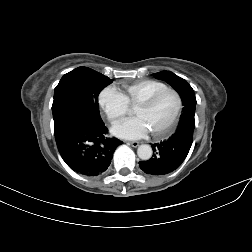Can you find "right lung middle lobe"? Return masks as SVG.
<instances>
[{
  "instance_id": "obj_1",
  "label": "right lung middle lobe",
  "mask_w": 252,
  "mask_h": 252,
  "mask_svg": "<svg viewBox=\"0 0 252 252\" xmlns=\"http://www.w3.org/2000/svg\"><path fill=\"white\" fill-rule=\"evenodd\" d=\"M110 83L109 77L87 67L66 73L54 90L53 118L75 112L100 121L98 95Z\"/></svg>"
}]
</instances>
